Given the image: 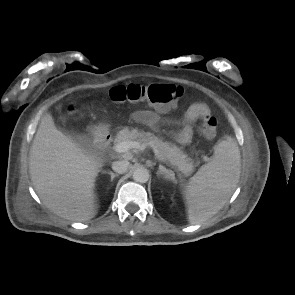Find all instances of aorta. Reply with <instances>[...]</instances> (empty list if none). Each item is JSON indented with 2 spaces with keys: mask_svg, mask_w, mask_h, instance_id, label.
Listing matches in <instances>:
<instances>
[{
  "mask_svg": "<svg viewBox=\"0 0 295 295\" xmlns=\"http://www.w3.org/2000/svg\"><path fill=\"white\" fill-rule=\"evenodd\" d=\"M133 179L138 183H146L149 179V172L143 167H139L133 172Z\"/></svg>",
  "mask_w": 295,
  "mask_h": 295,
  "instance_id": "aorta-1",
  "label": "aorta"
}]
</instances>
